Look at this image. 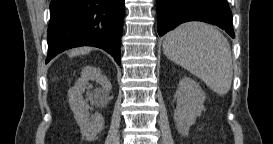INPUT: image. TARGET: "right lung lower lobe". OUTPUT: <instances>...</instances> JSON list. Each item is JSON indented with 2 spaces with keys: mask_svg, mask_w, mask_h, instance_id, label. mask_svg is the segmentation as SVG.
Listing matches in <instances>:
<instances>
[{
  "mask_svg": "<svg viewBox=\"0 0 273 144\" xmlns=\"http://www.w3.org/2000/svg\"><path fill=\"white\" fill-rule=\"evenodd\" d=\"M125 0H51L46 63L64 50L89 45L120 64Z\"/></svg>",
  "mask_w": 273,
  "mask_h": 144,
  "instance_id": "right-lung-lower-lobe-1",
  "label": "right lung lower lobe"
}]
</instances>
